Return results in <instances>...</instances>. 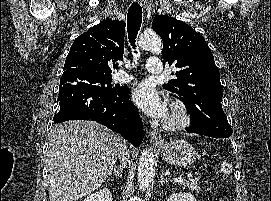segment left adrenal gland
Here are the masks:
<instances>
[{"label":"left adrenal gland","instance_id":"left-adrenal-gland-1","mask_svg":"<svg viewBox=\"0 0 271 201\" xmlns=\"http://www.w3.org/2000/svg\"><path fill=\"white\" fill-rule=\"evenodd\" d=\"M168 182H169L168 180H165V179H164L163 174H160V183H159V185H160V186H163L164 184H166V183H168Z\"/></svg>","mask_w":271,"mask_h":201}]
</instances>
